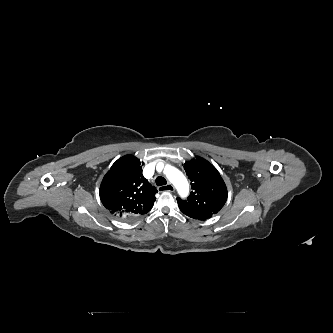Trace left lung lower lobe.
Listing matches in <instances>:
<instances>
[{
	"instance_id": "left-lung-lower-lobe-1",
	"label": "left lung lower lobe",
	"mask_w": 333,
	"mask_h": 333,
	"mask_svg": "<svg viewBox=\"0 0 333 333\" xmlns=\"http://www.w3.org/2000/svg\"><path fill=\"white\" fill-rule=\"evenodd\" d=\"M185 215L193 218V219H198V220H205L207 218H204V217H201V216H198V215H194V214H191V213H188V212H185V211H182Z\"/></svg>"
}]
</instances>
